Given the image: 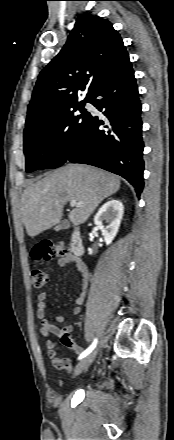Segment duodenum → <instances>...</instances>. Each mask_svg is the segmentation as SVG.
Returning <instances> with one entry per match:
<instances>
[{
	"label": "duodenum",
	"instance_id": "1",
	"mask_svg": "<svg viewBox=\"0 0 174 440\" xmlns=\"http://www.w3.org/2000/svg\"><path fill=\"white\" fill-rule=\"evenodd\" d=\"M70 248L76 257H81L84 254V243L79 228H76L71 235Z\"/></svg>",
	"mask_w": 174,
	"mask_h": 440
}]
</instances>
